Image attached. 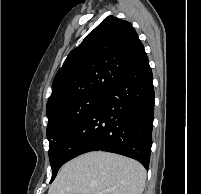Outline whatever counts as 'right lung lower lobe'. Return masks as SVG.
Segmentation results:
<instances>
[{
	"mask_svg": "<svg viewBox=\"0 0 201 194\" xmlns=\"http://www.w3.org/2000/svg\"><path fill=\"white\" fill-rule=\"evenodd\" d=\"M153 118V75L146 58L66 134L54 154L58 166L83 153L102 150L136 159L148 169Z\"/></svg>",
	"mask_w": 201,
	"mask_h": 194,
	"instance_id": "1",
	"label": "right lung lower lobe"
}]
</instances>
